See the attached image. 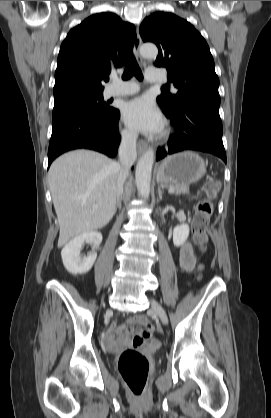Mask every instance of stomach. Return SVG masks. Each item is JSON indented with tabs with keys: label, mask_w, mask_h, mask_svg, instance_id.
Listing matches in <instances>:
<instances>
[{
	"label": "stomach",
	"mask_w": 271,
	"mask_h": 418,
	"mask_svg": "<svg viewBox=\"0 0 271 418\" xmlns=\"http://www.w3.org/2000/svg\"><path fill=\"white\" fill-rule=\"evenodd\" d=\"M206 173V163L195 152L186 151L167 157L158 167L156 178L161 184L189 185Z\"/></svg>",
	"instance_id": "1"
}]
</instances>
